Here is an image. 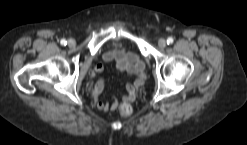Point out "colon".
<instances>
[{
    "instance_id": "5ec220e1",
    "label": "colon",
    "mask_w": 247,
    "mask_h": 145,
    "mask_svg": "<svg viewBox=\"0 0 247 145\" xmlns=\"http://www.w3.org/2000/svg\"><path fill=\"white\" fill-rule=\"evenodd\" d=\"M119 112L122 116H130L132 114V106L124 102L120 105Z\"/></svg>"
}]
</instances>
